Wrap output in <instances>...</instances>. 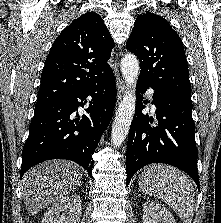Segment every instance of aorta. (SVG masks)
<instances>
[{
	"mask_svg": "<svg viewBox=\"0 0 221 223\" xmlns=\"http://www.w3.org/2000/svg\"><path fill=\"white\" fill-rule=\"evenodd\" d=\"M121 72L127 90L118 106L111 132V143L119 148L130 129L136 105V83L140 72L139 61L133 54H126L121 60Z\"/></svg>",
	"mask_w": 221,
	"mask_h": 223,
	"instance_id": "aorta-1",
	"label": "aorta"
}]
</instances>
